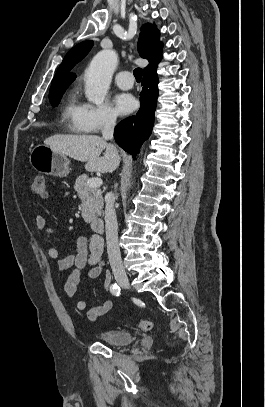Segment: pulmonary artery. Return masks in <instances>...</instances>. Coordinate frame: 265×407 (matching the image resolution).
I'll return each instance as SVG.
<instances>
[{
  "label": "pulmonary artery",
  "instance_id": "e3ab8cb5",
  "mask_svg": "<svg viewBox=\"0 0 265 407\" xmlns=\"http://www.w3.org/2000/svg\"><path fill=\"white\" fill-rule=\"evenodd\" d=\"M116 85L122 90L131 89L134 85L132 73L128 70H123L115 77Z\"/></svg>",
  "mask_w": 265,
  "mask_h": 407
}]
</instances>
